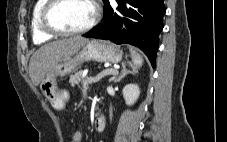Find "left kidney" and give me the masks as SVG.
I'll list each match as a JSON object with an SVG mask.
<instances>
[{
	"label": "left kidney",
	"mask_w": 227,
	"mask_h": 142,
	"mask_svg": "<svg viewBox=\"0 0 227 142\" xmlns=\"http://www.w3.org/2000/svg\"><path fill=\"white\" fill-rule=\"evenodd\" d=\"M122 94L125 99V103L127 105H133L140 95V89L137 84H127L123 88Z\"/></svg>",
	"instance_id": "1"
}]
</instances>
